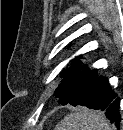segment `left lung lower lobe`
<instances>
[{
  "instance_id": "obj_1",
  "label": "left lung lower lobe",
  "mask_w": 123,
  "mask_h": 130,
  "mask_svg": "<svg viewBox=\"0 0 123 130\" xmlns=\"http://www.w3.org/2000/svg\"><path fill=\"white\" fill-rule=\"evenodd\" d=\"M77 105L104 111L107 118L119 128L121 117L119 114L120 100L117 94L110 89L108 80L97 77V69L92 71L85 84Z\"/></svg>"
}]
</instances>
